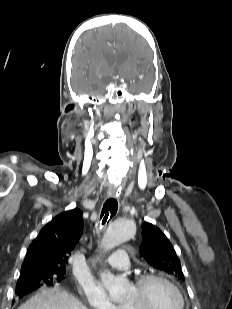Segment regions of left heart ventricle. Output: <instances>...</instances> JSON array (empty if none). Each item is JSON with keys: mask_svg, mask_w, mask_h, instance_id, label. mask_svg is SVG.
Segmentation results:
<instances>
[{"mask_svg": "<svg viewBox=\"0 0 232 309\" xmlns=\"http://www.w3.org/2000/svg\"><path fill=\"white\" fill-rule=\"evenodd\" d=\"M143 297L146 309H179L180 306V300L176 292L169 285L159 280L147 283L143 291ZM138 300V291L134 286H131L124 303Z\"/></svg>", "mask_w": 232, "mask_h": 309, "instance_id": "left-heart-ventricle-1", "label": "left heart ventricle"}]
</instances>
